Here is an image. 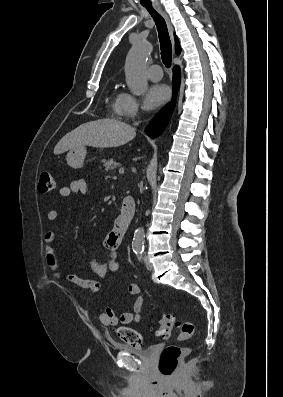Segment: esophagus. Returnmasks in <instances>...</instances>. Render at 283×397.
Wrapping results in <instances>:
<instances>
[{
  "label": "esophagus",
  "mask_w": 283,
  "mask_h": 397,
  "mask_svg": "<svg viewBox=\"0 0 283 397\" xmlns=\"http://www.w3.org/2000/svg\"><path fill=\"white\" fill-rule=\"evenodd\" d=\"M155 8L164 17V19H165V21L167 23V26H168V30H169L170 36H171V38L173 40V26H172V24L170 22V19H169L167 13L160 6H155Z\"/></svg>",
  "instance_id": "esophagus-1"
}]
</instances>
